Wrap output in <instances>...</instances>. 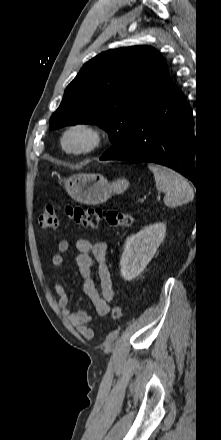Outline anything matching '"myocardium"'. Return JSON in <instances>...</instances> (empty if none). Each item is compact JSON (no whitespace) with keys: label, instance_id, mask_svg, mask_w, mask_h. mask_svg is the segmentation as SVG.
Returning a JSON list of instances; mask_svg holds the SVG:
<instances>
[{"label":"myocardium","instance_id":"obj_1","mask_svg":"<svg viewBox=\"0 0 221 440\" xmlns=\"http://www.w3.org/2000/svg\"><path fill=\"white\" fill-rule=\"evenodd\" d=\"M78 135L82 138L79 146H71L68 139ZM104 141L103 131L94 123L77 121L68 124L60 133L59 145L63 153L69 156H85L98 150Z\"/></svg>","mask_w":221,"mask_h":440}]
</instances>
